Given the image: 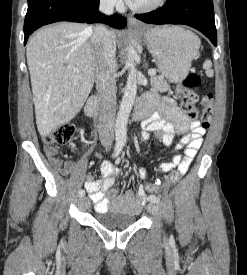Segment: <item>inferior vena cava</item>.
I'll use <instances>...</instances> for the list:
<instances>
[{"mask_svg": "<svg viewBox=\"0 0 247 275\" xmlns=\"http://www.w3.org/2000/svg\"><path fill=\"white\" fill-rule=\"evenodd\" d=\"M116 0H100V11L111 15ZM91 31L93 67L100 101L98 122L99 139L111 146L115 138L116 114V43L114 34L105 25L98 24Z\"/></svg>", "mask_w": 247, "mask_h": 275, "instance_id": "1", "label": "inferior vena cava"}]
</instances>
